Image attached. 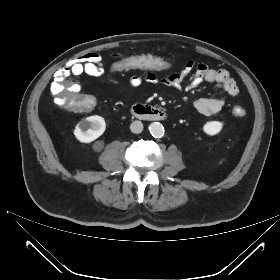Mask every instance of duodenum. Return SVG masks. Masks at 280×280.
I'll use <instances>...</instances> for the list:
<instances>
[{
    "mask_svg": "<svg viewBox=\"0 0 280 280\" xmlns=\"http://www.w3.org/2000/svg\"><path fill=\"white\" fill-rule=\"evenodd\" d=\"M131 111L135 117L143 120L163 121L167 118V113L164 109L146 104H136Z\"/></svg>",
    "mask_w": 280,
    "mask_h": 280,
    "instance_id": "410a0bca",
    "label": "duodenum"
}]
</instances>
